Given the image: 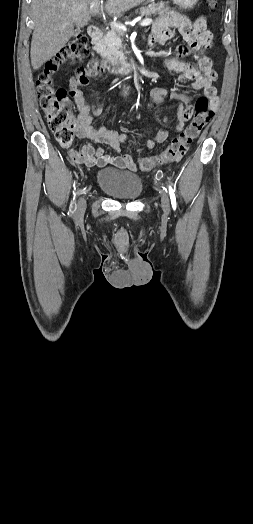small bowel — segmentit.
Returning a JSON list of instances; mask_svg holds the SVG:
<instances>
[{
	"label": "small bowel",
	"mask_w": 253,
	"mask_h": 524,
	"mask_svg": "<svg viewBox=\"0 0 253 524\" xmlns=\"http://www.w3.org/2000/svg\"><path fill=\"white\" fill-rule=\"evenodd\" d=\"M174 29L179 30L181 36L189 43L190 48L193 50L201 48L208 49L211 48L213 44L212 33L206 29V22L203 17H199L194 21L185 17H179L172 20H160L153 26L150 35L151 46L165 45L174 36ZM175 56H181L183 58L189 56L191 60L197 58V55L191 53L188 46L177 48ZM166 67L172 73L179 75L181 80L193 81V87L195 89L202 90L203 96L210 99L212 103L216 102L217 90L214 84L217 79V73L213 68L212 60L208 56L200 57L198 66L186 63L177 58H170L166 61ZM168 96L178 103L176 130L181 131L191 116V106L185 94L169 91L162 87H154L149 93L150 102L148 107L149 109H153ZM74 99L78 111V128L76 129V134L79 138L87 139V142H85L78 151L70 150L68 152L70 161L86 166L104 167L110 165L130 171H137L139 166L132 155L113 156L101 148H94L95 143H102L118 151L120 144L125 142L128 136L106 127H97L94 124V117L101 115L103 112V106L100 103L90 106L86 103L83 93L78 97L74 96ZM167 136L168 130L166 128H160L155 135L147 139L141 147H136L135 152L140 153L151 149L156 144L164 142Z\"/></svg>",
	"instance_id": "small-bowel-1"
}]
</instances>
